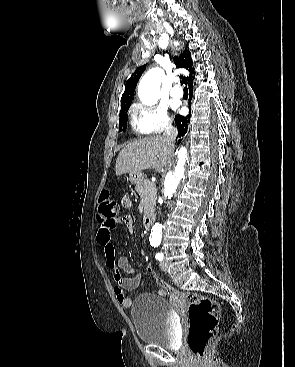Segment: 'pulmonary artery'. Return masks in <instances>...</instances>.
<instances>
[{
	"instance_id": "1",
	"label": "pulmonary artery",
	"mask_w": 295,
	"mask_h": 367,
	"mask_svg": "<svg viewBox=\"0 0 295 367\" xmlns=\"http://www.w3.org/2000/svg\"><path fill=\"white\" fill-rule=\"evenodd\" d=\"M171 96L173 97V98H176V99H180V98H182V96H183V91H182V89L180 88V86H175V87H173L172 89H171Z\"/></svg>"
}]
</instances>
